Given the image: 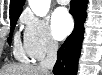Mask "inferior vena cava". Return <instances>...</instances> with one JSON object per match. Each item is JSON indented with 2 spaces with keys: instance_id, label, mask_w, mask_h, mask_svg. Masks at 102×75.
I'll list each match as a JSON object with an SVG mask.
<instances>
[{
  "instance_id": "1",
  "label": "inferior vena cava",
  "mask_w": 102,
  "mask_h": 75,
  "mask_svg": "<svg viewBox=\"0 0 102 75\" xmlns=\"http://www.w3.org/2000/svg\"><path fill=\"white\" fill-rule=\"evenodd\" d=\"M57 51L58 43L55 40L50 39L48 42L46 58L39 63L38 68L50 74L57 60Z\"/></svg>"
}]
</instances>
